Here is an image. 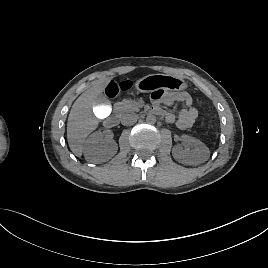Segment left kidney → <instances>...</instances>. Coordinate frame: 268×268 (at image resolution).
Returning <instances> with one entry per match:
<instances>
[{"label": "left kidney", "mask_w": 268, "mask_h": 268, "mask_svg": "<svg viewBox=\"0 0 268 268\" xmlns=\"http://www.w3.org/2000/svg\"><path fill=\"white\" fill-rule=\"evenodd\" d=\"M182 144H177L173 147V157L183 164H200L207 160L209 149L200 140L183 136ZM184 147V148H183ZM189 147L192 149L190 150Z\"/></svg>", "instance_id": "left-kidney-1"}]
</instances>
